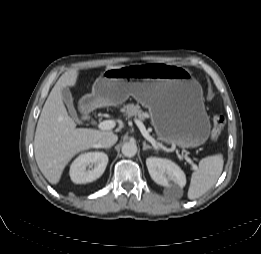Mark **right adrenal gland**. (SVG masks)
Returning <instances> with one entry per match:
<instances>
[{
    "label": "right adrenal gland",
    "instance_id": "2a0ac1e0",
    "mask_svg": "<svg viewBox=\"0 0 261 254\" xmlns=\"http://www.w3.org/2000/svg\"><path fill=\"white\" fill-rule=\"evenodd\" d=\"M105 150H106V151H109V149H108V148H105Z\"/></svg>",
    "mask_w": 261,
    "mask_h": 254
}]
</instances>
